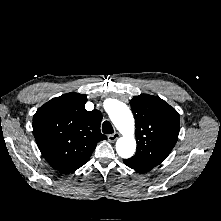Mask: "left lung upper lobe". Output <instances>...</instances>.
<instances>
[{
    "label": "left lung upper lobe",
    "mask_w": 221,
    "mask_h": 221,
    "mask_svg": "<svg viewBox=\"0 0 221 221\" xmlns=\"http://www.w3.org/2000/svg\"><path fill=\"white\" fill-rule=\"evenodd\" d=\"M136 121L137 152L128 160L155 167L171 152L179 134V114L157 96L140 95L131 100Z\"/></svg>",
    "instance_id": "obj_1"
}]
</instances>
